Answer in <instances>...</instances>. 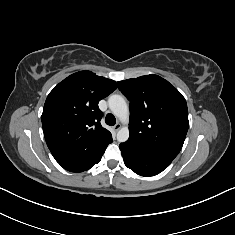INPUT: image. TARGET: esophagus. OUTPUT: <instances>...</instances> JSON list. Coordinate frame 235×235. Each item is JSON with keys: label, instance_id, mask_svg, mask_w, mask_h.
<instances>
[{"label": "esophagus", "instance_id": "34e87169", "mask_svg": "<svg viewBox=\"0 0 235 235\" xmlns=\"http://www.w3.org/2000/svg\"><path fill=\"white\" fill-rule=\"evenodd\" d=\"M113 128L115 131H118L121 128V124L117 123Z\"/></svg>", "mask_w": 235, "mask_h": 235}]
</instances>
